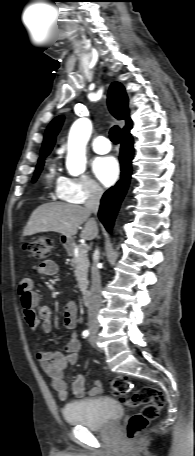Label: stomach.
Returning <instances> with one entry per match:
<instances>
[{
	"label": "stomach",
	"mask_w": 195,
	"mask_h": 456,
	"mask_svg": "<svg viewBox=\"0 0 195 456\" xmlns=\"http://www.w3.org/2000/svg\"><path fill=\"white\" fill-rule=\"evenodd\" d=\"M60 242L61 244L63 245V247L67 250H70L72 249L73 245H74V240L72 237H66L65 235H62L60 237Z\"/></svg>",
	"instance_id": "stomach-1"
}]
</instances>
